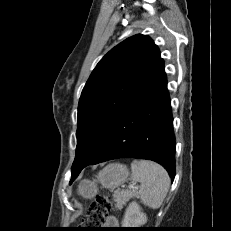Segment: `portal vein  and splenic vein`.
Returning a JSON list of instances; mask_svg holds the SVG:
<instances>
[{
	"label": "portal vein and splenic vein",
	"instance_id": "1",
	"mask_svg": "<svg viewBox=\"0 0 231 231\" xmlns=\"http://www.w3.org/2000/svg\"><path fill=\"white\" fill-rule=\"evenodd\" d=\"M129 187L132 188V189L137 188V186L134 185V184H131Z\"/></svg>",
	"mask_w": 231,
	"mask_h": 231
}]
</instances>
